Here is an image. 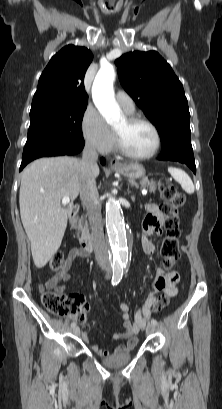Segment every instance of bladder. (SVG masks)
<instances>
[{"label": "bladder", "mask_w": 222, "mask_h": 409, "mask_svg": "<svg viewBox=\"0 0 222 409\" xmlns=\"http://www.w3.org/2000/svg\"><path fill=\"white\" fill-rule=\"evenodd\" d=\"M131 357V352H121L112 354L102 361V364L109 368H119L127 364Z\"/></svg>", "instance_id": "31cf9c89"}]
</instances>
